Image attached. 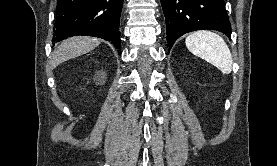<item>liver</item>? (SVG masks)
I'll return each mask as SVG.
<instances>
[{
    "instance_id": "1",
    "label": "liver",
    "mask_w": 277,
    "mask_h": 166,
    "mask_svg": "<svg viewBox=\"0 0 277 166\" xmlns=\"http://www.w3.org/2000/svg\"><path fill=\"white\" fill-rule=\"evenodd\" d=\"M99 44L100 40L93 37L76 36L68 38L53 52L51 66L56 67L69 59L86 54Z\"/></svg>"
}]
</instances>
